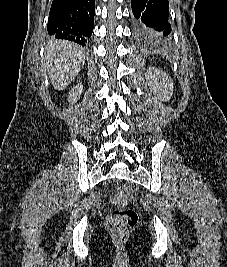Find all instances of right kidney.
Segmentation results:
<instances>
[{
  "label": "right kidney",
  "instance_id": "obj_1",
  "mask_svg": "<svg viewBox=\"0 0 227 267\" xmlns=\"http://www.w3.org/2000/svg\"><path fill=\"white\" fill-rule=\"evenodd\" d=\"M82 91H83L82 85L78 84L74 86L69 92L68 101L71 103L76 102L80 98Z\"/></svg>",
  "mask_w": 227,
  "mask_h": 267
}]
</instances>
